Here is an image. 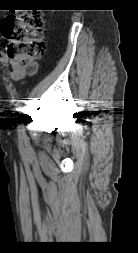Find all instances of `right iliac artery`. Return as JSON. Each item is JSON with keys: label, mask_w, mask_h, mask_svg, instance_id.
Returning <instances> with one entry per match:
<instances>
[{"label": "right iliac artery", "mask_w": 138, "mask_h": 253, "mask_svg": "<svg viewBox=\"0 0 138 253\" xmlns=\"http://www.w3.org/2000/svg\"><path fill=\"white\" fill-rule=\"evenodd\" d=\"M27 110H24L23 114H22V118L18 124V132H19V138L20 139H25L26 138V117H27Z\"/></svg>", "instance_id": "1"}]
</instances>
